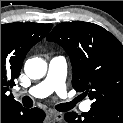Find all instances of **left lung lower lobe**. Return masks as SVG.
Returning <instances> with one entry per match:
<instances>
[{
    "label": "left lung lower lobe",
    "instance_id": "0a47b994",
    "mask_svg": "<svg viewBox=\"0 0 123 123\" xmlns=\"http://www.w3.org/2000/svg\"><path fill=\"white\" fill-rule=\"evenodd\" d=\"M69 123H123V109L114 105L93 107L87 113L69 112L64 116Z\"/></svg>",
    "mask_w": 123,
    "mask_h": 123
}]
</instances>
